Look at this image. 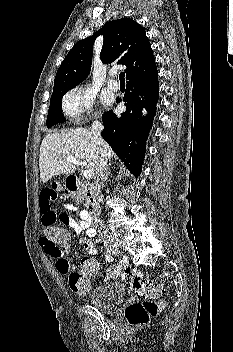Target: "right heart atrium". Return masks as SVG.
<instances>
[{
    "label": "right heart atrium",
    "mask_w": 233,
    "mask_h": 352,
    "mask_svg": "<svg viewBox=\"0 0 233 352\" xmlns=\"http://www.w3.org/2000/svg\"><path fill=\"white\" fill-rule=\"evenodd\" d=\"M94 94L83 87L71 89L63 98L62 107L66 116L80 120L92 112Z\"/></svg>",
    "instance_id": "right-heart-atrium-1"
}]
</instances>
